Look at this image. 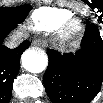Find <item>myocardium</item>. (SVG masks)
<instances>
[{
    "label": "myocardium",
    "instance_id": "1",
    "mask_svg": "<svg viewBox=\"0 0 103 103\" xmlns=\"http://www.w3.org/2000/svg\"><path fill=\"white\" fill-rule=\"evenodd\" d=\"M83 28V21L77 17H70L63 25V35L65 37L73 36L79 33Z\"/></svg>",
    "mask_w": 103,
    "mask_h": 103
}]
</instances>
